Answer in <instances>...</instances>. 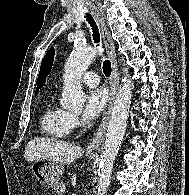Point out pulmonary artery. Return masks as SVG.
I'll return each instance as SVG.
<instances>
[{
	"instance_id": "1",
	"label": "pulmonary artery",
	"mask_w": 189,
	"mask_h": 195,
	"mask_svg": "<svg viewBox=\"0 0 189 195\" xmlns=\"http://www.w3.org/2000/svg\"><path fill=\"white\" fill-rule=\"evenodd\" d=\"M99 77L94 72H87L83 76V83L89 87H96L99 85Z\"/></svg>"
}]
</instances>
